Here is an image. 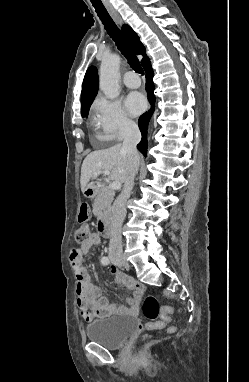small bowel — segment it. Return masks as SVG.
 Masks as SVG:
<instances>
[{"label":"small bowel","mask_w":249,"mask_h":382,"mask_svg":"<svg viewBox=\"0 0 249 382\" xmlns=\"http://www.w3.org/2000/svg\"><path fill=\"white\" fill-rule=\"evenodd\" d=\"M102 240L103 236L99 232L90 233L88 240L80 244L78 248L72 249L70 253V261L77 280V303L82 319L87 323L96 318L136 313L139 300L144 292L142 284L130 280L123 273L114 269L111 271L114 281L118 285L126 286L133 293L129 300V307L112 304L108 298L102 296L100 287L92 283L90 273L84 266L85 255Z\"/></svg>","instance_id":"small-bowel-1"}]
</instances>
